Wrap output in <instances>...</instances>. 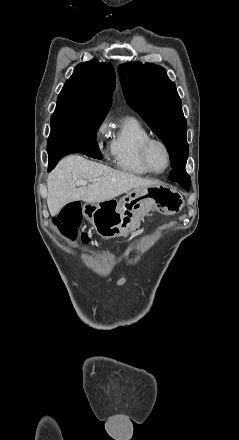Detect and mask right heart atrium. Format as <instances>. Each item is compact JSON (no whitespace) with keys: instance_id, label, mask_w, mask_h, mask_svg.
<instances>
[{"instance_id":"right-heart-atrium-1","label":"right heart atrium","mask_w":239,"mask_h":440,"mask_svg":"<svg viewBox=\"0 0 239 440\" xmlns=\"http://www.w3.org/2000/svg\"><path fill=\"white\" fill-rule=\"evenodd\" d=\"M107 129H108V122L105 119V120H102L100 123H98V125L96 126L94 133H93L94 143H95L97 149L103 155L107 154L111 150L110 144H108V146H104V144H103V139H104L105 134L107 133Z\"/></svg>"}]
</instances>
